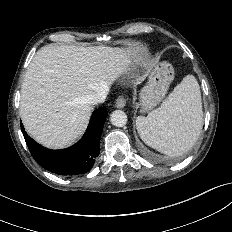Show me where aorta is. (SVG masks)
<instances>
[{
    "label": "aorta",
    "mask_w": 232,
    "mask_h": 232,
    "mask_svg": "<svg viewBox=\"0 0 232 232\" xmlns=\"http://www.w3.org/2000/svg\"><path fill=\"white\" fill-rule=\"evenodd\" d=\"M110 122L116 127H123L127 123V115L122 110H115L110 115Z\"/></svg>",
    "instance_id": "762f6f07"
}]
</instances>
